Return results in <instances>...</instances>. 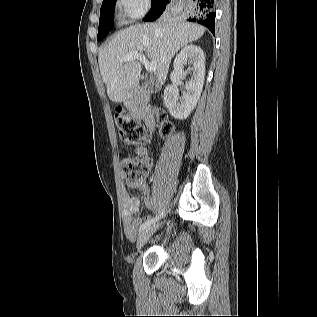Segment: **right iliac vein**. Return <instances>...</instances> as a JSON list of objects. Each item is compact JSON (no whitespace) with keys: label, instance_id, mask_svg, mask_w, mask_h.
<instances>
[{"label":"right iliac vein","instance_id":"right-iliac-vein-1","mask_svg":"<svg viewBox=\"0 0 317 317\" xmlns=\"http://www.w3.org/2000/svg\"><path fill=\"white\" fill-rule=\"evenodd\" d=\"M159 224H155L151 227L146 228L139 236L137 240V249H141L145 243L149 240V238L153 235V233L158 229Z\"/></svg>","mask_w":317,"mask_h":317}]
</instances>
